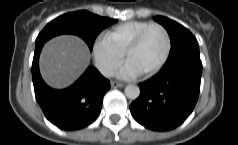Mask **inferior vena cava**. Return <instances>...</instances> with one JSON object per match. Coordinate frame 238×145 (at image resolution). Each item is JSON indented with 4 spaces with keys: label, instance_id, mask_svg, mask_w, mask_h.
I'll use <instances>...</instances> for the list:
<instances>
[{
    "label": "inferior vena cava",
    "instance_id": "obj_1",
    "mask_svg": "<svg viewBox=\"0 0 238 145\" xmlns=\"http://www.w3.org/2000/svg\"><path fill=\"white\" fill-rule=\"evenodd\" d=\"M100 72L102 75L106 77H110L114 75V70L111 67L103 66L100 68Z\"/></svg>",
    "mask_w": 238,
    "mask_h": 145
}]
</instances>
